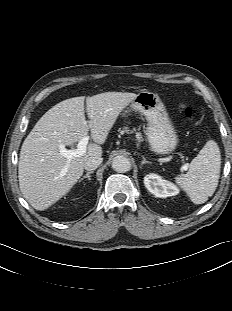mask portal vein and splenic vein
Here are the masks:
<instances>
[{
    "label": "portal vein and splenic vein",
    "instance_id": "obj_1",
    "mask_svg": "<svg viewBox=\"0 0 232 311\" xmlns=\"http://www.w3.org/2000/svg\"><path fill=\"white\" fill-rule=\"evenodd\" d=\"M89 141V136H85L83 137L77 144V149H72V150H68L65 148L64 145H60L59 149H60V154L62 156H64L65 158H67L68 160H71L74 157H79L81 155H83L86 152V148H87V144ZM65 171L63 170L62 173H64Z\"/></svg>",
    "mask_w": 232,
    "mask_h": 311
}]
</instances>
